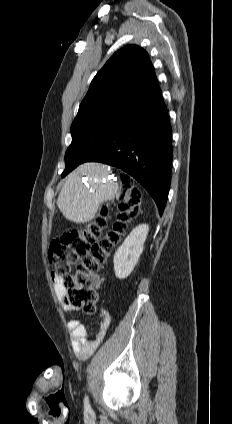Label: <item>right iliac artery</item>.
<instances>
[{
  "label": "right iliac artery",
  "mask_w": 232,
  "mask_h": 424,
  "mask_svg": "<svg viewBox=\"0 0 232 424\" xmlns=\"http://www.w3.org/2000/svg\"><path fill=\"white\" fill-rule=\"evenodd\" d=\"M84 409H85L86 412H90V410H91V407H90L89 400H88V397L87 396H85V399H84Z\"/></svg>",
  "instance_id": "82829eb1"
}]
</instances>
